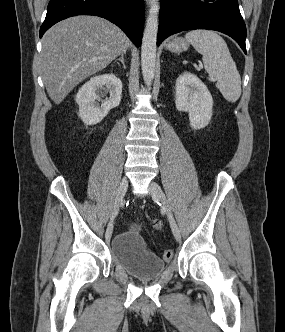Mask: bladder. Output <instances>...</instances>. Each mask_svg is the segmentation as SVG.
<instances>
[{"instance_id": "31cf9c89", "label": "bladder", "mask_w": 285, "mask_h": 332, "mask_svg": "<svg viewBox=\"0 0 285 332\" xmlns=\"http://www.w3.org/2000/svg\"><path fill=\"white\" fill-rule=\"evenodd\" d=\"M111 254L117 265L140 279L156 277L165 269L164 261L147 249L137 229L115 235L111 241Z\"/></svg>"}]
</instances>
